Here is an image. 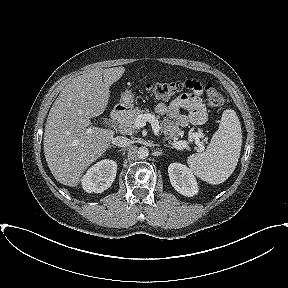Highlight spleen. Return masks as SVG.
Masks as SVG:
<instances>
[{
	"mask_svg": "<svg viewBox=\"0 0 288 288\" xmlns=\"http://www.w3.org/2000/svg\"><path fill=\"white\" fill-rule=\"evenodd\" d=\"M242 146L241 125L236 112L226 109L218 130L202 153L188 157L190 171L210 184H220L235 170Z\"/></svg>",
	"mask_w": 288,
	"mask_h": 288,
	"instance_id": "spleen-1",
	"label": "spleen"
}]
</instances>
